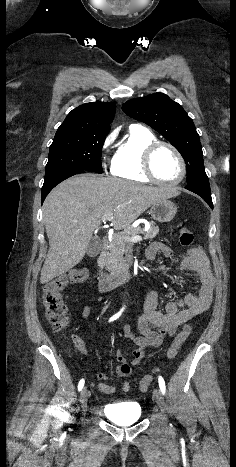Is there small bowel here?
<instances>
[{"label": "small bowel", "mask_w": 236, "mask_h": 467, "mask_svg": "<svg viewBox=\"0 0 236 467\" xmlns=\"http://www.w3.org/2000/svg\"><path fill=\"white\" fill-rule=\"evenodd\" d=\"M158 253L166 257L172 256L171 249L162 242H152L145 251V258L152 262ZM174 271L177 277L194 275L199 281V288L196 294H187L180 299L166 303L163 311L158 309L157 293L153 287H148L145 295L143 312L136 322V327L142 336H136L129 325L125 326L126 337L134 341L138 346L131 351V358L127 359L120 351L115 353V359L119 363L117 374L121 377H130L134 368L137 367L146 355L147 347H159L163 344L166 336H174L177 329L193 317L207 311L212 302L214 290V277L211 272L206 255L198 248H193L184 255L181 261L175 266ZM91 314L90 305H85L82 310V318L89 328L96 333V329L91 324L89 318ZM83 345L81 352H85ZM97 378L101 383L98 385L99 391L103 393H114V386L103 383L108 379L104 372H99ZM121 390L127 392L131 388L129 381L122 382Z\"/></svg>", "instance_id": "c3829d8e"}]
</instances>
